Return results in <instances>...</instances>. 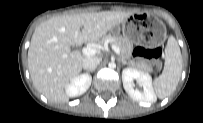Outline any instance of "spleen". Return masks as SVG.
Returning <instances> with one entry per match:
<instances>
[{"label":"spleen","instance_id":"1","mask_svg":"<svg viewBox=\"0 0 203 123\" xmlns=\"http://www.w3.org/2000/svg\"><path fill=\"white\" fill-rule=\"evenodd\" d=\"M182 73V56L177 41L173 36L168 39L165 49V66L162 74L154 80L156 95L163 99L171 95L179 82Z\"/></svg>","mask_w":203,"mask_h":123}]
</instances>
